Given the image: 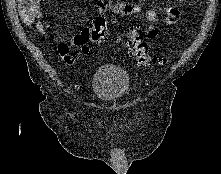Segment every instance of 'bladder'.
<instances>
[{
  "mask_svg": "<svg viewBox=\"0 0 221 174\" xmlns=\"http://www.w3.org/2000/svg\"><path fill=\"white\" fill-rule=\"evenodd\" d=\"M130 78L126 70L116 65H103L94 75L95 97L106 103L120 100L128 93Z\"/></svg>",
  "mask_w": 221,
  "mask_h": 174,
  "instance_id": "1",
  "label": "bladder"
}]
</instances>
